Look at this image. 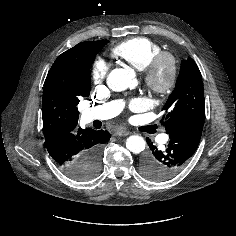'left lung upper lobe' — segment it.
Returning <instances> with one entry per match:
<instances>
[{
  "instance_id": "left-lung-upper-lobe-1",
  "label": "left lung upper lobe",
  "mask_w": 236,
  "mask_h": 236,
  "mask_svg": "<svg viewBox=\"0 0 236 236\" xmlns=\"http://www.w3.org/2000/svg\"><path fill=\"white\" fill-rule=\"evenodd\" d=\"M163 110L166 115L162 124L167 133L187 122L204 120L203 82L199 68L192 58L182 61L175 89Z\"/></svg>"
}]
</instances>
